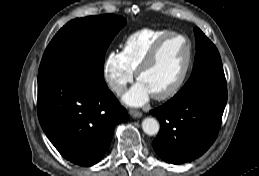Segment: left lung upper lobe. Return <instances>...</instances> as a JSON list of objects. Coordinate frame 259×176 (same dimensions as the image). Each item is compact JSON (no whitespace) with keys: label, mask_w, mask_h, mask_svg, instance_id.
Instances as JSON below:
<instances>
[{"label":"left lung upper lobe","mask_w":259,"mask_h":176,"mask_svg":"<svg viewBox=\"0 0 259 176\" xmlns=\"http://www.w3.org/2000/svg\"><path fill=\"white\" fill-rule=\"evenodd\" d=\"M194 33L197 49L194 67L189 80L177 94L204 84L226 86L222 61L217 48L199 28H194Z\"/></svg>","instance_id":"left-lung-upper-lobe-1"}]
</instances>
